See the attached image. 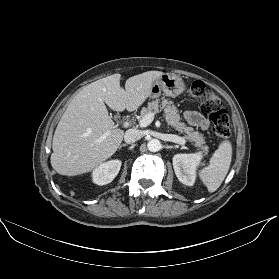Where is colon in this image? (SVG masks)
I'll use <instances>...</instances> for the list:
<instances>
[{"label": "colon", "mask_w": 279, "mask_h": 279, "mask_svg": "<svg viewBox=\"0 0 279 279\" xmlns=\"http://www.w3.org/2000/svg\"><path fill=\"white\" fill-rule=\"evenodd\" d=\"M189 94L199 101L200 110L207 115L213 125V131L219 140L230 136V121L226 110L222 108L220 98L206 89L201 81L193 82L188 88Z\"/></svg>", "instance_id": "5ec220e1"}]
</instances>
